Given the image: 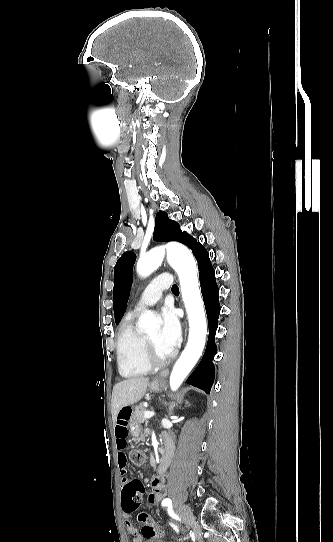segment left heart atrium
<instances>
[{
    "label": "left heart atrium",
    "instance_id": "left-heart-atrium-1",
    "mask_svg": "<svg viewBox=\"0 0 333 542\" xmlns=\"http://www.w3.org/2000/svg\"><path fill=\"white\" fill-rule=\"evenodd\" d=\"M181 339V325L174 309L165 306L162 309V328L160 331V342L170 354L174 353Z\"/></svg>",
    "mask_w": 333,
    "mask_h": 542
}]
</instances>
